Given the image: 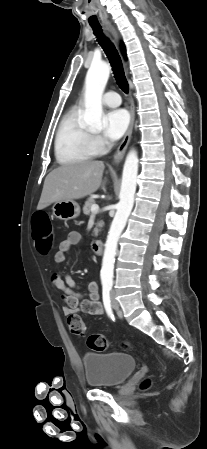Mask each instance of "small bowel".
<instances>
[{
  "label": "small bowel",
  "mask_w": 207,
  "mask_h": 449,
  "mask_svg": "<svg viewBox=\"0 0 207 449\" xmlns=\"http://www.w3.org/2000/svg\"><path fill=\"white\" fill-rule=\"evenodd\" d=\"M82 242V236L78 232H70L59 246L54 255V261L62 264L66 259V253L75 245ZM53 286L62 291V300L65 302L63 313L67 316L77 313L88 315H101L103 306L99 300L98 287L95 281H89L86 284V292L80 293L77 290L80 286L75 282L70 274L61 276L54 274L52 276Z\"/></svg>",
  "instance_id": "1"
}]
</instances>
